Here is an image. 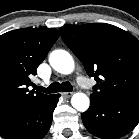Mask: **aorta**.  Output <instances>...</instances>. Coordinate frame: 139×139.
<instances>
[{"instance_id":"obj_1","label":"aorta","mask_w":139,"mask_h":139,"mask_svg":"<svg viewBox=\"0 0 139 139\" xmlns=\"http://www.w3.org/2000/svg\"><path fill=\"white\" fill-rule=\"evenodd\" d=\"M49 63L54 70L61 74H71L74 70V60L65 50H55L49 56ZM72 106L80 112H85L90 105L88 96L84 93H75L71 98Z\"/></svg>"}]
</instances>
